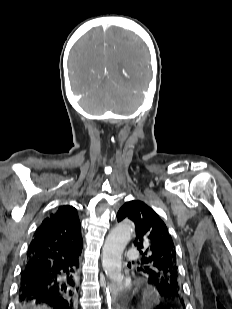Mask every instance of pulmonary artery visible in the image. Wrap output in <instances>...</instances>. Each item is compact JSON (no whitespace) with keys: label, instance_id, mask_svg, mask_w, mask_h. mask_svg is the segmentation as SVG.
<instances>
[{"label":"pulmonary artery","instance_id":"obj_1","mask_svg":"<svg viewBox=\"0 0 232 309\" xmlns=\"http://www.w3.org/2000/svg\"><path fill=\"white\" fill-rule=\"evenodd\" d=\"M126 256L130 260H137L139 258V253L136 249H131L127 252Z\"/></svg>","mask_w":232,"mask_h":309}]
</instances>
